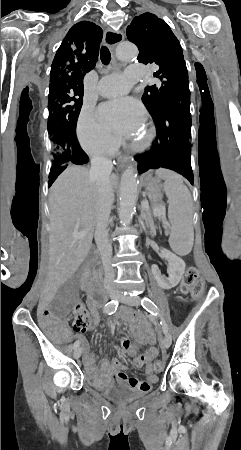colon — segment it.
Returning <instances> with one entry per match:
<instances>
[{
  "label": "colon",
  "mask_w": 241,
  "mask_h": 450,
  "mask_svg": "<svg viewBox=\"0 0 241 450\" xmlns=\"http://www.w3.org/2000/svg\"><path fill=\"white\" fill-rule=\"evenodd\" d=\"M203 281L199 280L198 271L195 267H190L184 274L180 290L184 294L192 293L197 301H200L203 296L204 287ZM86 302L84 300H79L73 309L74 315L84 316L86 314ZM162 368L161 363H156V369L160 370Z\"/></svg>",
  "instance_id": "5ec220e1"
}]
</instances>
